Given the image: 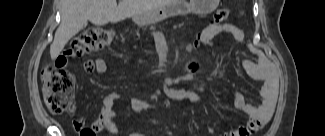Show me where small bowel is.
Returning <instances> with one entry per match:
<instances>
[{
  "label": "small bowel",
  "mask_w": 325,
  "mask_h": 136,
  "mask_svg": "<svg viewBox=\"0 0 325 136\" xmlns=\"http://www.w3.org/2000/svg\"><path fill=\"white\" fill-rule=\"evenodd\" d=\"M221 34H230L236 40L241 43L244 40V34L241 29L230 24H208L199 33V40L205 44L212 46L215 44V38ZM73 54L72 48H65L64 53H58L56 58L55 70L66 83L67 88H74L76 86L77 74L71 73V69L67 68L68 55ZM257 62L250 61L244 62L246 71L256 80L261 81L260 96L262 103L259 107L249 104L243 95L239 93L233 94V100L235 107L249 116V119L237 128H233L224 133L225 136H249L253 131H259V129L265 125L271 118L272 111L275 104L276 79L273 76L272 69L267 60L260 52H255ZM188 71L185 74L176 75L166 78L161 85V91L170 99L175 101L189 100L191 102H202V97L193 91L184 89H175L174 85L184 82L194 81L197 74L200 71V64L197 61H189L187 64ZM84 70L87 73L97 72L103 74L107 70V64L101 57H97L94 60H88L84 63ZM120 99V95L116 92L108 94L102 102L101 115L92 123L90 127L84 126V121L81 118H75L73 120V126L77 131L82 133L84 130H91L94 133L107 130L111 134H117L119 126L115 121L116 113L114 110L115 102ZM146 107L144 101L138 98H132L130 100V109L134 112L143 110ZM74 108H71L70 112L73 113Z\"/></svg>",
  "instance_id": "1"
}]
</instances>
